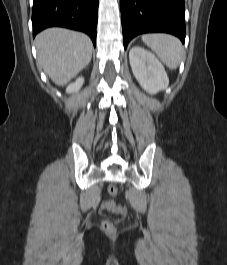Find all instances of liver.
Returning <instances> with one entry per match:
<instances>
[{"label": "liver", "instance_id": "6515ba94", "mask_svg": "<svg viewBox=\"0 0 227 265\" xmlns=\"http://www.w3.org/2000/svg\"><path fill=\"white\" fill-rule=\"evenodd\" d=\"M38 61L58 86L70 82L91 61L90 38L76 31L49 28L36 36Z\"/></svg>", "mask_w": 227, "mask_h": 265}]
</instances>
